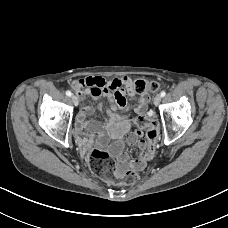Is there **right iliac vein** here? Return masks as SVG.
<instances>
[{
    "instance_id": "right-iliac-vein-1",
    "label": "right iliac vein",
    "mask_w": 228,
    "mask_h": 228,
    "mask_svg": "<svg viewBox=\"0 0 228 228\" xmlns=\"http://www.w3.org/2000/svg\"><path fill=\"white\" fill-rule=\"evenodd\" d=\"M71 100L75 106H78L79 100L75 95L71 96Z\"/></svg>"
}]
</instances>
